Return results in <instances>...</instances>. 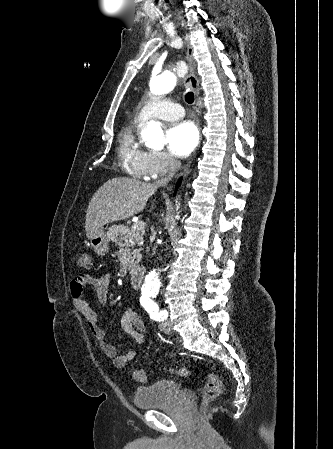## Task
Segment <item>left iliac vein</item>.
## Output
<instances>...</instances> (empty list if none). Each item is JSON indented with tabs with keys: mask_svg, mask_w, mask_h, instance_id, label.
Wrapping results in <instances>:
<instances>
[{
	"mask_svg": "<svg viewBox=\"0 0 333 449\" xmlns=\"http://www.w3.org/2000/svg\"><path fill=\"white\" fill-rule=\"evenodd\" d=\"M160 330L165 334H170L172 332V327L169 321H164L160 325Z\"/></svg>",
	"mask_w": 333,
	"mask_h": 449,
	"instance_id": "1",
	"label": "left iliac vein"
}]
</instances>
